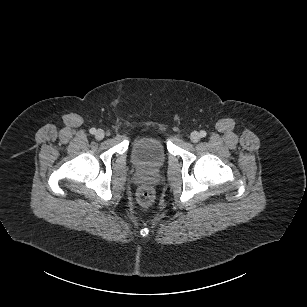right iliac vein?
Returning a JSON list of instances; mask_svg holds the SVG:
<instances>
[{"mask_svg": "<svg viewBox=\"0 0 307 307\" xmlns=\"http://www.w3.org/2000/svg\"><path fill=\"white\" fill-rule=\"evenodd\" d=\"M105 136V133L102 129H98L95 133V137L97 140H102Z\"/></svg>", "mask_w": 307, "mask_h": 307, "instance_id": "63e3f726", "label": "right iliac vein"}]
</instances>
